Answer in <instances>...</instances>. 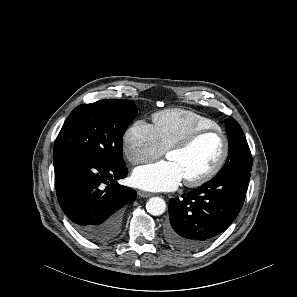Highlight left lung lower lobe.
Masks as SVG:
<instances>
[{"instance_id":"obj_1","label":"left lung lower lobe","mask_w":297,"mask_h":297,"mask_svg":"<svg viewBox=\"0 0 297 297\" xmlns=\"http://www.w3.org/2000/svg\"><path fill=\"white\" fill-rule=\"evenodd\" d=\"M250 174L217 175L202 187L172 198L166 241L175 248L193 251L226 230L240 212Z\"/></svg>"}]
</instances>
